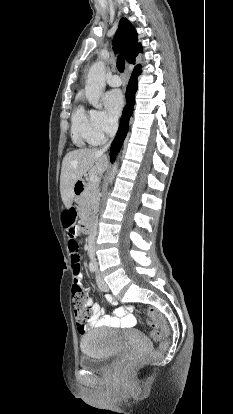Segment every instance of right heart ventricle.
Listing matches in <instances>:
<instances>
[{
  "label": "right heart ventricle",
  "mask_w": 233,
  "mask_h": 414,
  "mask_svg": "<svg viewBox=\"0 0 233 414\" xmlns=\"http://www.w3.org/2000/svg\"><path fill=\"white\" fill-rule=\"evenodd\" d=\"M72 140L77 146L96 145L92 119L90 112L81 105L77 106L71 118Z\"/></svg>",
  "instance_id": "right-heart-ventricle-1"
}]
</instances>
